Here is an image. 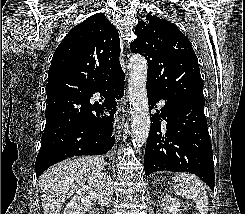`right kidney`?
I'll list each match as a JSON object with an SVG mask.
<instances>
[{
  "label": "right kidney",
  "mask_w": 245,
  "mask_h": 214,
  "mask_svg": "<svg viewBox=\"0 0 245 214\" xmlns=\"http://www.w3.org/2000/svg\"><path fill=\"white\" fill-rule=\"evenodd\" d=\"M113 183L110 175L97 172L93 174L87 185H83L67 203L64 214H85V207L91 200H97L100 206H105L111 200Z\"/></svg>",
  "instance_id": "right-kidney-1"
}]
</instances>
